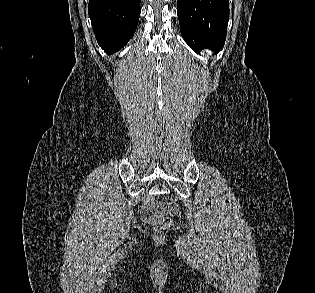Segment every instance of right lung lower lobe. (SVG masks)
Here are the masks:
<instances>
[{
    "label": "right lung lower lobe",
    "mask_w": 315,
    "mask_h": 293,
    "mask_svg": "<svg viewBox=\"0 0 315 293\" xmlns=\"http://www.w3.org/2000/svg\"><path fill=\"white\" fill-rule=\"evenodd\" d=\"M88 12L98 44L111 55L135 33L140 4L139 0H89Z\"/></svg>",
    "instance_id": "1"
}]
</instances>
